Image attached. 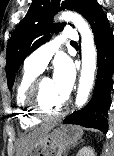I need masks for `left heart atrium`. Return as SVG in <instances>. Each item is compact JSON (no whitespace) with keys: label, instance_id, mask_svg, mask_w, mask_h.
Instances as JSON below:
<instances>
[{"label":"left heart atrium","instance_id":"obj_1","mask_svg":"<svg viewBox=\"0 0 114 156\" xmlns=\"http://www.w3.org/2000/svg\"><path fill=\"white\" fill-rule=\"evenodd\" d=\"M75 75V66L70 58L60 57L56 60L52 80L57 92L65 99L72 91Z\"/></svg>","mask_w":114,"mask_h":156}]
</instances>
